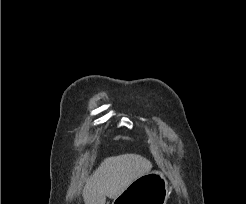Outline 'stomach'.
Here are the masks:
<instances>
[{
  "mask_svg": "<svg viewBox=\"0 0 246 204\" xmlns=\"http://www.w3.org/2000/svg\"><path fill=\"white\" fill-rule=\"evenodd\" d=\"M168 182L159 171H151L134 180L112 204H166Z\"/></svg>",
  "mask_w": 246,
  "mask_h": 204,
  "instance_id": "stomach-1",
  "label": "stomach"
}]
</instances>
